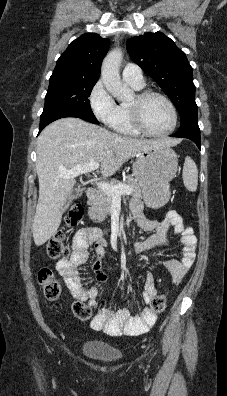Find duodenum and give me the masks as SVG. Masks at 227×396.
Here are the masks:
<instances>
[{"instance_id":"duodenum-1","label":"duodenum","mask_w":227,"mask_h":396,"mask_svg":"<svg viewBox=\"0 0 227 396\" xmlns=\"http://www.w3.org/2000/svg\"><path fill=\"white\" fill-rule=\"evenodd\" d=\"M87 199L89 203H93L96 199V191L94 188H89L87 190Z\"/></svg>"}]
</instances>
